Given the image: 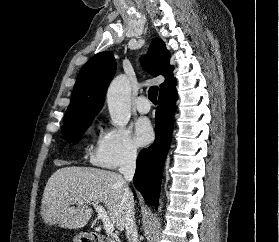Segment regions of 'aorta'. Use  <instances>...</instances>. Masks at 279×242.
I'll use <instances>...</instances> for the list:
<instances>
[{"instance_id": "aorta-1", "label": "aorta", "mask_w": 279, "mask_h": 242, "mask_svg": "<svg viewBox=\"0 0 279 242\" xmlns=\"http://www.w3.org/2000/svg\"><path fill=\"white\" fill-rule=\"evenodd\" d=\"M107 104L111 123L114 126H126L131 117V90L124 75L116 77L107 92Z\"/></svg>"}]
</instances>
